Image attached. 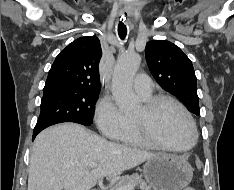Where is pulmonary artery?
<instances>
[{
    "label": "pulmonary artery",
    "mask_w": 234,
    "mask_h": 190,
    "mask_svg": "<svg viewBox=\"0 0 234 190\" xmlns=\"http://www.w3.org/2000/svg\"><path fill=\"white\" fill-rule=\"evenodd\" d=\"M135 91L143 98H147L152 94V81L145 74H139L134 83Z\"/></svg>",
    "instance_id": "e3ab8cb5"
}]
</instances>
